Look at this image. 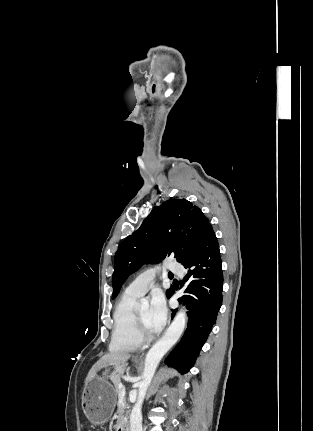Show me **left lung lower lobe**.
I'll return each mask as SVG.
<instances>
[{
    "label": "left lung lower lobe",
    "mask_w": 313,
    "mask_h": 431,
    "mask_svg": "<svg viewBox=\"0 0 313 431\" xmlns=\"http://www.w3.org/2000/svg\"><path fill=\"white\" fill-rule=\"evenodd\" d=\"M188 268L184 282L188 283L181 300L187 304L188 325L175 349L166 358V363L186 373L192 368L196 357L213 325L222 304L223 274L219 244L212 226L209 225L190 259L182 264ZM174 289L168 295L170 298ZM176 310L172 311V318Z\"/></svg>",
    "instance_id": "1"
}]
</instances>
